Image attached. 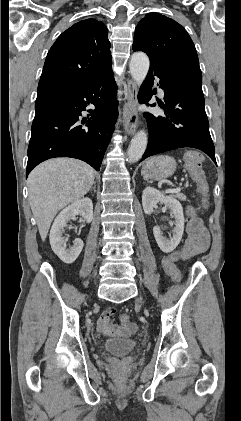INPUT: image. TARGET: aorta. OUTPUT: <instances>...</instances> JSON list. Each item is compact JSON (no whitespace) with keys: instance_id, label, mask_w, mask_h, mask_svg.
I'll list each match as a JSON object with an SVG mask.
<instances>
[{"instance_id":"1","label":"aorta","mask_w":241,"mask_h":421,"mask_svg":"<svg viewBox=\"0 0 241 421\" xmlns=\"http://www.w3.org/2000/svg\"><path fill=\"white\" fill-rule=\"evenodd\" d=\"M150 66L149 58L144 52H135L132 54L129 69L133 80L140 86L148 73ZM147 134L141 130L133 137L128 148V161L137 162L144 154L147 147Z\"/></svg>"}]
</instances>
